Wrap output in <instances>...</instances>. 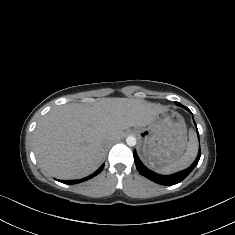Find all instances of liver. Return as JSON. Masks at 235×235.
I'll return each instance as SVG.
<instances>
[{
	"mask_svg": "<svg viewBox=\"0 0 235 235\" xmlns=\"http://www.w3.org/2000/svg\"><path fill=\"white\" fill-rule=\"evenodd\" d=\"M164 109L128 98L102 99L92 107L76 103L55 107L33 133L38 165L58 179L87 176L102 163L107 141L120 138L130 127L148 126Z\"/></svg>",
	"mask_w": 235,
	"mask_h": 235,
	"instance_id": "1",
	"label": "liver"
}]
</instances>
